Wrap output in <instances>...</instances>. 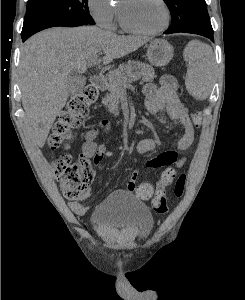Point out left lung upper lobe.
I'll use <instances>...</instances> for the list:
<instances>
[{"label": "left lung upper lobe", "instance_id": "left-lung-upper-lobe-1", "mask_svg": "<svg viewBox=\"0 0 245 300\" xmlns=\"http://www.w3.org/2000/svg\"><path fill=\"white\" fill-rule=\"evenodd\" d=\"M164 2L172 17L169 33L185 28L213 31L205 0H164Z\"/></svg>", "mask_w": 245, "mask_h": 300}]
</instances>
